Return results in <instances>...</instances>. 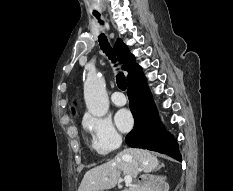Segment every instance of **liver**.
<instances>
[{"label":"liver","mask_w":233,"mask_h":191,"mask_svg":"<svg viewBox=\"0 0 233 191\" xmlns=\"http://www.w3.org/2000/svg\"><path fill=\"white\" fill-rule=\"evenodd\" d=\"M137 163L135 167L132 161ZM157 157L148 150L127 148L119 152L112 160L88 170L78 191H104L114 188L121 172L137 177L140 172L150 173L158 167Z\"/></svg>","instance_id":"1"}]
</instances>
